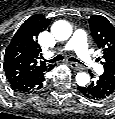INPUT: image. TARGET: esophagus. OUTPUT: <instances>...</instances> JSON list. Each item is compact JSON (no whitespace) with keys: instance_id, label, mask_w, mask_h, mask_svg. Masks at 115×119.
Instances as JSON below:
<instances>
[{"instance_id":"1","label":"esophagus","mask_w":115,"mask_h":119,"mask_svg":"<svg viewBox=\"0 0 115 119\" xmlns=\"http://www.w3.org/2000/svg\"><path fill=\"white\" fill-rule=\"evenodd\" d=\"M69 65H70L71 68L74 69V70H82V69H83L82 66L79 65V64L76 63V62L70 61V62H69Z\"/></svg>"}]
</instances>
